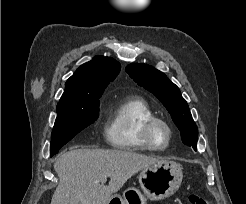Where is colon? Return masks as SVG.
<instances>
[{
  "label": "colon",
  "instance_id": "obj_1",
  "mask_svg": "<svg viewBox=\"0 0 246 204\" xmlns=\"http://www.w3.org/2000/svg\"><path fill=\"white\" fill-rule=\"evenodd\" d=\"M188 200L191 204H211L205 198H203L197 194H194V193L188 194Z\"/></svg>",
  "mask_w": 246,
  "mask_h": 204
}]
</instances>
